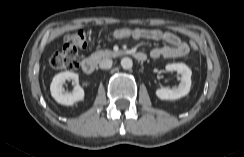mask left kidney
<instances>
[{
    "label": "left kidney",
    "instance_id": "1",
    "mask_svg": "<svg viewBox=\"0 0 244 157\" xmlns=\"http://www.w3.org/2000/svg\"><path fill=\"white\" fill-rule=\"evenodd\" d=\"M166 70L169 72L177 71L179 74H181V82L176 88L157 89L155 92L156 96L161 100H176L186 96L191 87V69L184 63H173L166 65Z\"/></svg>",
    "mask_w": 244,
    "mask_h": 157
}]
</instances>
